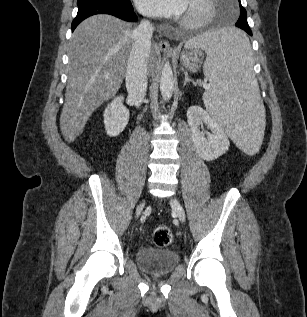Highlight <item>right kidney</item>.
<instances>
[{"mask_svg":"<svg viewBox=\"0 0 307 317\" xmlns=\"http://www.w3.org/2000/svg\"><path fill=\"white\" fill-rule=\"evenodd\" d=\"M123 101V96L114 98L104 111L105 130L110 137L118 136L128 124L130 113Z\"/></svg>","mask_w":307,"mask_h":317,"instance_id":"ca27d5eb","label":"right kidney"}]
</instances>
